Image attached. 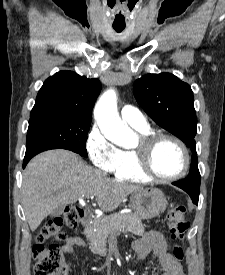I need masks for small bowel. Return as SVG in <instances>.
Segmentation results:
<instances>
[{
	"label": "small bowel",
	"instance_id": "c3829d8e",
	"mask_svg": "<svg viewBox=\"0 0 225 275\" xmlns=\"http://www.w3.org/2000/svg\"><path fill=\"white\" fill-rule=\"evenodd\" d=\"M85 242L78 236L67 238L61 250L65 254H72L75 248H82ZM133 251L139 258H145L148 254L154 253L163 269L161 275H185L181 264L168 252V245L163 234L150 231L145 233L133 244Z\"/></svg>",
	"mask_w": 225,
	"mask_h": 275
}]
</instances>
